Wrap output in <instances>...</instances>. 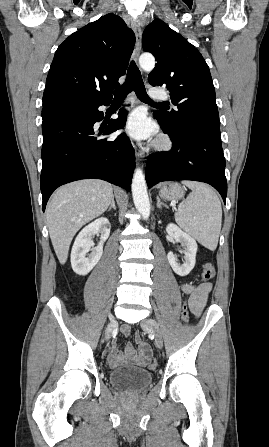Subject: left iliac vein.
<instances>
[{
  "mask_svg": "<svg viewBox=\"0 0 269 447\" xmlns=\"http://www.w3.org/2000/svg\"><path fill=\"white\" fill-rule=\"evenodd\" d=\"M142 326L148 327L151 329V331L154 333V336H155V344L158 347H162L163 335H162L161 328H160L159 324L157 323V321H155L151 318H147L146 320H144L142 322Z\"/></svg>",
  "mask_w": 269,
  "mask_h": 447,
  "instance_id": "obj_1",
  "label": "left iliac vein"
}]
</instances>
